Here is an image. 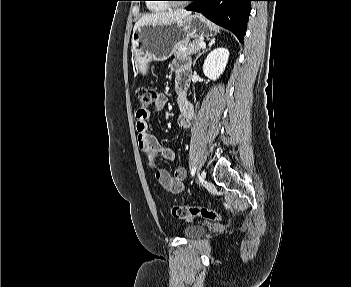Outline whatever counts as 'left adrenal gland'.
Returning a JSON list of instances; mask_svg holds the SVG:
<instances>
[{
    "instance_id": "a2214340",
    "label": "left adrenal gland",
    "mask_w": 351,
    "mask_h": 287,
    "mask_svg": "<svg viewBox=\"0 0 351 287\" xmlns=\"http://www.w3.org/2000/svg\"><path fill=\"white\" fill-rule=\"evenodd\" d=\"M214 43H215L214 41H211L210 47H211L212 44H214ZM205 51H207V49L203 50L201 53H199V54L196 56V58L194 59L193 65L196 64L197 59H198Z\"/></svg>"
}]
</instances>
